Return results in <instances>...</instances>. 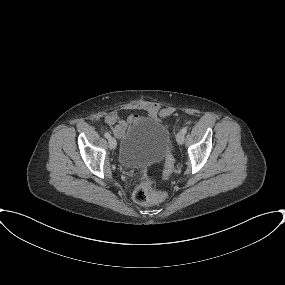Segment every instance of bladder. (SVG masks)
I'll list each match as a JSON object with an SVG mask.
<instances>
[{"instance_id":"bladder-1","label":"bladder","mask_w":285,"mask_h":285,"mask_svg":"<svg viewBox=\"0 0 285 285\" xmlns=\"http://www.w3.org/2000/svg\"><path fill=\"white\" fill-rule=\"evenodd\" d=\"M171 145L167 127L150 118L130 126L121 139L119 162L126 168H144L160 161Z\"/></svg>"}]
</instances>
